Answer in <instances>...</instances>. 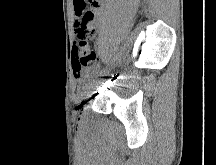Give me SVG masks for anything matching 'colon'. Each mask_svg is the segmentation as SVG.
<instances>
[{"instance_id": "colon-1", "label": "colon", "mask_w": 216, "mask_h": 165, "mask_svg": "<svg viewBox=\"0 0 216 165\" xmlns=\"http://www.w3.org/2000/svg\"><path fill=\"white\" fill-rule=\"evenodd\" d=\"M92 18V13H85L83 22L75 30L78 44L74 50V70L79 74L83 68L93 65L96 62V54L89 48L88 39L93 35L87 27V22Z\"/></svg>"}]
</instances>
